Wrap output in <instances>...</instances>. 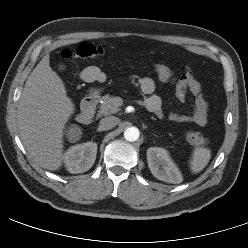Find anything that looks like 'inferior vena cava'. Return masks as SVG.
I'll return each instance as SVG.
<instances>
[{"mask_svg":"<svg viewBox=\"0 0 248 248\" xmlns=\"http://www.w3.org/2000/svg\"><path fill=\"white\" fill-rule=\"evenodd\" d=\"M119 123V119L115 116H108L100 120L99 130L105 131L115 127Z\"/></svg>","mask_w":248,"mask_h":248,"instance_id":"obj_1","label":"inferior vena cava"}]
</instances>
